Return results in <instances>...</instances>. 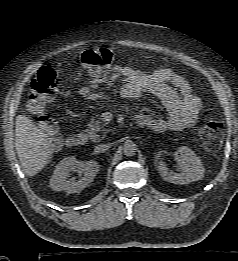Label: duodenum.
<instances>
[{"label": "duodenum", "mask_w": 238, "mask_h": 261, "mask_svg": "<svg viewBox=\"0 0 238 261\" xmlns=\"http://www.w3.org/2000/svg\"><path fill=\"white\" fill-rule=\"evenodd\" d=\"M87 141V137L83 133L72 134L67 138V145L69 147L83 146Z\"/></svg>", "instance_id": "410a0bca"}]
</instances>
